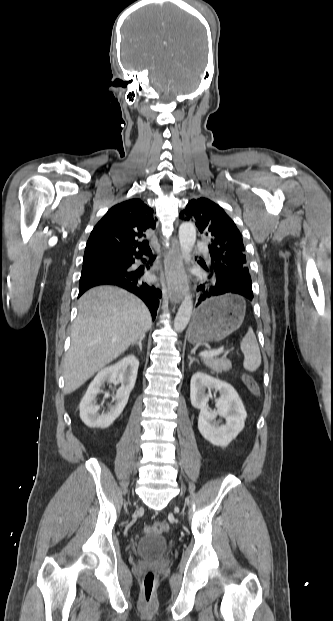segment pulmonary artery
<instances>
[{
	"label": "pulmonary artery",
	"mask_w": 333,
	"mask_h": 621,
	"mask_svg": "<svg viewBox=\"0 0 333 621\" xmlns=\"http://www.w3.org/2000/svg\"><path fill=\"white\" fill-rule=\"evenodd\" d=\"M196 247H197L198 249H203V248H204V244H203L202 242H198V243L196 244Z\"/></svg>",
	"instance_id": "pulmonary-artery-1"
}]
</instances>
